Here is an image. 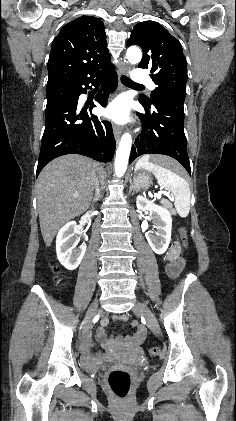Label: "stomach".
I'll use <instances>...</instances> for the list:
<instances>
[{"label":"stomach","instance_id":"obj_1","mask_svg":"<svg viewBox=\"0 0 236 421\" xmlns=\"http://www.w3.org/2000/svg\"><path fill=\"white\" fill-rule=\"evenodd\" d=\"M133 182L136 190H144V188L150 186L152 180L150 174H148L146 170H139V172H134Z\"/></svg>","mask_w":236,"mask_h":421}]
</instances>
